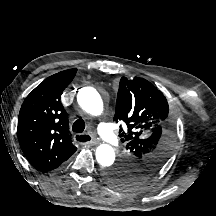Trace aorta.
I'll return each mask as SVG.
<instances>
[{
  "instance_id": "obj_1",
  "label": "aorta",
  "mask_w": 216,
  "mask_h": 216,
  "mask_svg": "<svg viewBox=\"0 0 216 216\" xmlns=\"http://www.w3.org/2000/svg\"><path fill=\"white\" fill-rule=\"evenodd\" d=\"M79 106L87 113L98 116L103 112V101L92 87L81 88L77 94ZM96 160L102 167H110L115 160L114 149L108 144H101L96 149Z\"/></svg>"
}]
</instances>
